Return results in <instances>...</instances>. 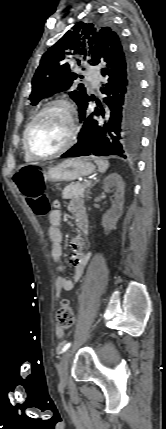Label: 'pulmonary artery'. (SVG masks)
<instances>
[{"label": "pulmonary artery", "mask_w": 166, "mask_h": 429, "mask_svg": "<svg viewBox=\"0 0 166 429\" xmlns=\"http://www.w3.org/2000/svg\"><path fill=\"white\" fill-rule=\"evenodd\" d=\"M87 79L90 81V84L93 88L98 87L99 73L91 69L87 73Z\"/></svg>", "instance_id": "pulmonary-artery-1"}]
</instances>
